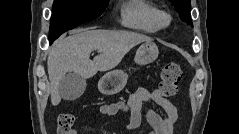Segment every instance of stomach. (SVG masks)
Here are the masks:
<instances>
[{"label": "stomach", "instance_id": "obj_1", "mask_svg": "<svg viewBox=\"0 0 239 134\" xmlns=\"http://www.w3.org/2000/svg\"><path fill=\"white\" fill-rule=\"evenodd\" d=\"M159 50L152 41L144 42L137 50L134 61L146 65L155 61ZM128 75L123 70H113L106 73L98 83L99 90L105 95L118 93L127 83Z\"/></svg>", "mask_w": 239, "mask_h": 134}]
</instances>
